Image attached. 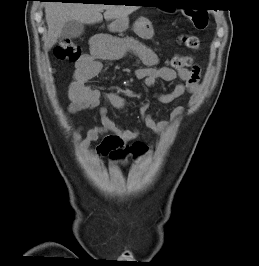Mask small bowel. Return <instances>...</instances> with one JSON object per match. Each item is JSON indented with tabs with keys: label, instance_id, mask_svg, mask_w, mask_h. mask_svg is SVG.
Segmentation results:
<instances>
[{
	"label": "small bowel",
	"instance_id": "obj_1",
	"mask_svg": "<svg viewBox=\"0 0 259 266\" xmlns=\"http://www.w3.org/2000/svg\"><path fill=\"white\" fill-rule=\"evenodd\" d=\"M131 54L139 59L145 67L136 71V77L144 80L148 87L161 80L171 82L178 77L181 82L168 93H156L155 98L162 104H170L179 97L191 95L190 104H193L200 88V67L194 65L191 69H181L177 72L165 66H158V56L148 46L140 43L134 38H118L109 35H97L92 38L90 53L81 56L76 62V71L73 81L69 86V97L71 103L68 113L73 114L81 110L99 108L101 125L95 126L87 131L82 140V149L85 151L93 142L105 135L96 152L100 157L111 156L118 151L124 150L128 143L139 136L137 128L125 129L111 120L107 115V107L101 105L104 100L109 106L115 109H123L125 100L116 93H103L91 89L86 82L95 78L101 71L102 60H111ZM184 112V107L176 106L171 112V120L176 119ZM140 116L144 125L159 135H163L169 123L167 121H156L149 113L147 104L140 108ZM80 139L79 131L75 135Z\"/></svg>",
	"mask_w": 259,
	"mask_h": 266
}]
</instances>
